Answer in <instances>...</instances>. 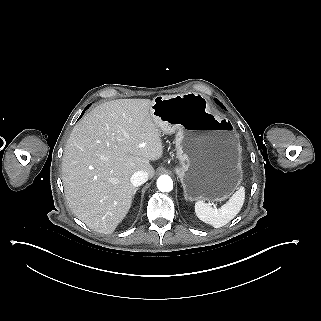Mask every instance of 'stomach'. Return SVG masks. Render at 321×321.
Segmentation results:
<instances>
[{"instance_id": "0dacf381", "label": "stomach", "mask_w": 321, "mask_h": 321, "mask_svg": "<svg viewBox=\"0 0 321 321\" xmlns=\"http://www.w3.org/2000/svg\"><path fill=\"white\" fill-rule=\"evenodd\" d=\"M151 114L160 131L175 133L174 169L190 201L227 200L243 180L241 142L233 122L209 112L195 92L157 95Z\"/></svg>"}]
</instances>
